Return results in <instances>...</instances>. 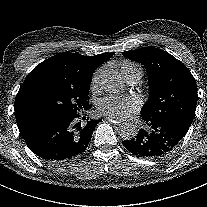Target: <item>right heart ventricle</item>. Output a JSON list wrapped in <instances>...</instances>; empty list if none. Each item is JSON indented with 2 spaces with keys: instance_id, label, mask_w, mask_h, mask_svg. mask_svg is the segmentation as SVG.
<instances>
[{
  "instance_id": "1",
  "label": "right heart ventricle",
  "mask_w": 207,
  "mask_h": 207,
  "mask_svg": "<svg viewBox=\"0 0 207 207\" xmlns=\"http://www.w3.org/2000/svg\"><path fill=\"white\" fill-rule=\"evenodd\" d=\"M133 69H137L136 66H134L133 64L131 63H124L122 64L121 66V71L123 74H125L126 72L130 71V70H133Z\"/></svg>"
}]
</instances>
